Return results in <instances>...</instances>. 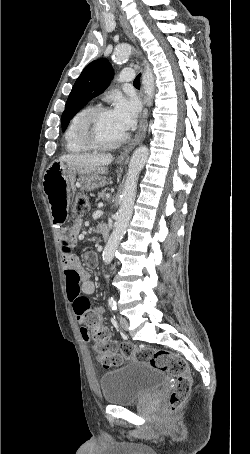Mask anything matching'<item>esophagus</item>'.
Instances as JSON below:
<instances>
[{
  "label": "esophagus",
  "mask_w": 250,
  "mask_h": 454,
  "mask_svg": "<svg viewBox=\"0 0 250 454\" xmlns=\"http://www.w3.org/2000/svg\"><path fill=\"white\" fill-rule=\"evenodd\" d=\"M120 23L124 29L125 34L132 40L133 43L136 44V38L132 33V29L129 23L123 17H120ZM146 129H147V109H144L135 138L118 156L119 159H124L128 155V153L144 138Z\"/></svg>",
  "instance_id": "obj_1"
}]
</instances>
